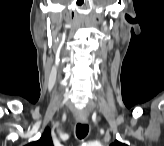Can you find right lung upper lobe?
Here are the masks:
<instances>
[{
    "label": "right lung upper lobe",
    "instance_id": "right-lung-upper-lobe-1",
    "mask_svg": "<svg viewBox=\"0 0 164 146\" xmlns=\"http://www.w3.org/2000/svg\"><path fill=\"white\" fill-rule=\"evenodd\" d=\"M30 146H53L50 130H45L43 135L38 141L32 142Z\"/></svg>",
    "mask_w": 164,
    "mask_h": 146
}]
</instances>
